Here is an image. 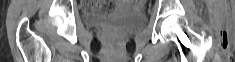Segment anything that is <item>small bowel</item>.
<instances>
[{
    "mask_svg": "<svg viewBox=\"0 0 235 62\" xmlns=\"http://www.w3.org/2000/svg\"><path fill=\"white\" fill-rule=\"evenodd\" d=\"M90 7H92L94 10H97V8H102L103 10L100 12L106 13L109 12L113 9L112 5L106 4V3H101V2H94L89 4Z\"/></svg>",
    "mask_w": 235,
    "mask_h": 62,
    "instance_id": "small-bowel-1",
    "label": "small bowel"
}]
</instances>
